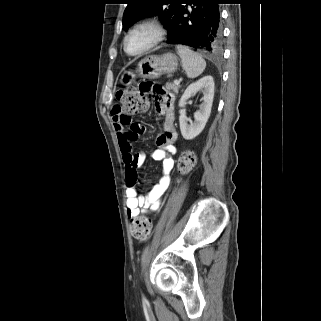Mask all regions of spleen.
Instances as JSON below:
<instances>
[{"mask_svg":"<svg viewBox=\"0 0 321 321\" xmlns=\"http://www.w3.org/2000/svg\"><path fill=\"white\" fill-rule=\"evenodd\" d=\"M176 49L188 78L194 79L203 73L206 62L201 55L184 45H177Z\"/></svg>","mask_w":321,"mask_h":321,"instance_id":"1","label":"spleen"}]
</instances>
